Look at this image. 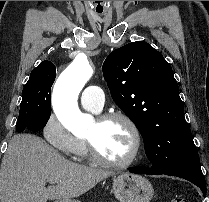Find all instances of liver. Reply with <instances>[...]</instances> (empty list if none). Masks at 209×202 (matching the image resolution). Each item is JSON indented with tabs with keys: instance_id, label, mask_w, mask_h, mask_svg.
<instances>
[{
	"instance_id": "6515ba94",
	"label": "liver",
	"mask_w": 209,
	"mask_h": 202,
	"mask_svg": "<svg viewBox=\"0 0 209 202\" xmlns=\"http://www.w3.org/2000/svg\"><path fill=\"white\" fill-rule=\"evenodd\" d=\"M113 175L110 171L73 163L32 134L10 140L0 169L1 202H47L79 197ZM48 179L55 186L45 187Z\"/></svg>"
}]
</instances>
